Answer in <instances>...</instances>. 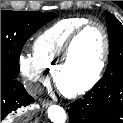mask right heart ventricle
Wrapping results in <instances>:
<instances>
[{"label":"right heart ventricle","mask_w":123,"mask_h":123,"mask_svg":"<svg viewBox=\"0 0 123 123\" xmlns=\"http://www.w3.org/2000/svg\"><path fill=\"white\" fill-rule=\"evenodd\" d=\"M88 21V18L72 17L56 22L35 39L33 56L44 69L54 71L69 37Z\"/></svg>","instance_id":"e07e8e85"}]
</instances>
